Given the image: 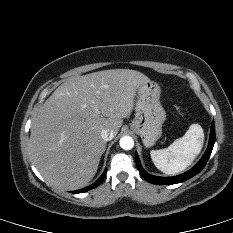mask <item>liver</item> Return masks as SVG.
Wrapping results in <instances>:
<instances>
[{"label":"liver","instance_id":"liver-1","mask_svg":"<svg viewBox=\"0 0 233 233\" xmlns=\"http://www.w3.org/2000/svg\"><path fill=\"white\" fill-rule=\"evenodd\" d=\"M149 78L136 70L110 69L71 77L45 101L30 134L32 162L56 188L76 190L95 176L106 141L133 110L138 87Z\"/></svg>","mask_w":233,"mask_h":233}]
</instances>
